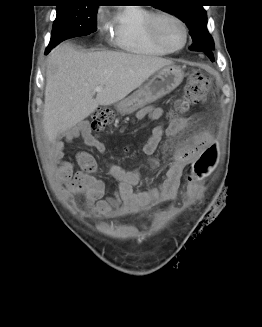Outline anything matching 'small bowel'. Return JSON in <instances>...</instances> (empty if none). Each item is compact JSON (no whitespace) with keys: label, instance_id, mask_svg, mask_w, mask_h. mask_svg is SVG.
I'll use <instances>...</instances> for the list:
<instances>
[{"label":"small bowel","instance_id":"c3829d8e","mask_svg":"<svg viewBox=\"0 0 262 327\" xmlns=\"http://www.w3.org/2000/svg\"><path fill=\"white\" fill-rule=\"evenodd\" d=\"M164 114L160 107H145L135 114V119L147 118L158 120ZM187 118H179L170 121L167 125L157 126L153 129L146 143L143 145V152L150 156V167L156 169L159 160L154 154L164 136L174 137L184 131L188 125ZM82 137L86 145L95 148L98 152L104 153V143L97 140L91 132L88 123H79L65 136L66 141L75 137ZM211 138L206 133H198L186 138L177 148L173 159L169 163L165 178L161 183L150 189L135 191L134 188L141 181V172L137 169H126L116 164H110L109 173L117 181V188L113 195L104 197L105 184L95 176L97 163L88 152L81 151L76 156V162L80 167L79 171L74 170V163L63 160V151L58 148L54 152V161L58 164L56 169L57 179L66 186L68 196L80 195L84 198L87 211L93 215L105 217H117L138 213L152 205L173 200L180 187L181 179L189 165H210L197 164L195 153H205V149ZM188 165V166H187ZM199 173V172H196ZM186 180H195V173H186ZM186 194L188 199H194V206H205L203 192H197L196 183H186Z\"/></svg>","mask_w":262,"mask_h":327}]
</instances>
